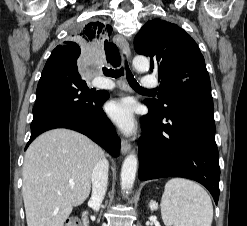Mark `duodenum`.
<instances>
[{
	"mask_svg": "<svg viewBox=\"0 0 247 226\" xmlns=\"http://www.w3.org/2000/svg\"><path fill=\"white\" fill-rule=\"evenodd\" d=\"M82 226H88V215L87 212H84L82 215Z\"/></svg>",
	"mask_w": 247,
	"mask_h": 226,
	"instance_id": "410a0bca",
	"label": "duodenum"
}]
</instances>
